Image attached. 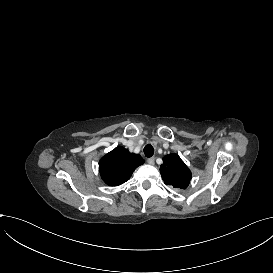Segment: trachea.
I'll use <instances>...</instances> for the list:
<instances>
[{
	"label": "trachea",
	"mask_w": 273,
	"mask_h": 273,
	"mask_svg": "<svg viewBox=\"0 0 273 273\" xmlns=\"http://www.w3.org/2000/svg\"><path fill=\"white\" fill-rule=\"evenodd\" d=\"M144 154H145V156L148 157V158L152 157L153 154H154V149H153V147H152L151 145H146V146L144 147Z\"/></svg>",
	"instance_id": "obj_1"
}]
</instances>
